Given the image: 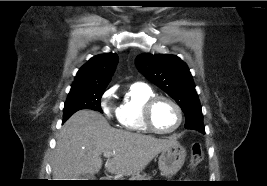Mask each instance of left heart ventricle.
Here are the masks:
<instances>
[{
	"label": "left heart ventricle",
	"instance_id": "b2bd125f",
	"mask_svg": "<svg viewBox=\"0 0 267 186\" xmlns=\"http://www.w3.org/2000/svg\"><path fill=\"white\" fill-rule=\"evenodd\" d=\"M152 118L154 125L160 130H170L178 121L176 109L169 102L164 100L156 103Z\"/></svg>",
	"mask_w": 267,
	"mask_h": 186
}]
</instances>
